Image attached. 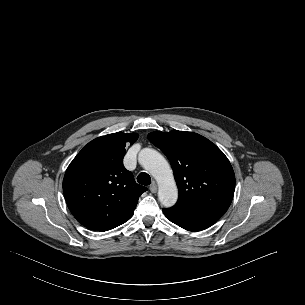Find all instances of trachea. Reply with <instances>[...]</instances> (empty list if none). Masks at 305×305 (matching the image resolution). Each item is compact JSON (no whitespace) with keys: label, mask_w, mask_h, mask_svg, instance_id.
Segmentation results:
<instances>
[{"label":"trachea","mask_w":305,"mask_h":305,"mask_svg":"<svg viewBox=\"0 0 305 305\" xmlns=\"http://www.w3.org/2000/svg\"><path fill=\"white\" fill-rule=\"evenodd\" d=\"M137 181L142 184V185H150L151 183V178L150 176L145 173V172H141L138 176H137Z\"/></svg>","instance_id":"3493384b"}]
</instances>
